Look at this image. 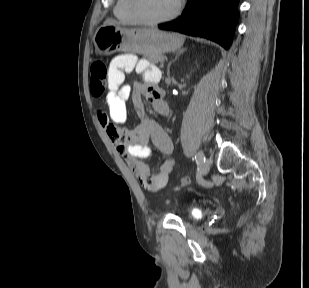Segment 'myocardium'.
<instances>
[{
	"label": "myocardium",
	"instance_id": "f54148a6",
	"mask_svg": "<svg viewBox=\"0 0 309 288\" xmlns=\"http://www.w3.org/2000/svg\"><path fill=\"white\" fill-rule=\"evenodd\" d=\"M140 2L141 0H129V10L138 23L148 26L159 25L174 19L181 12L184 5V0H178L176 7L168 15L157 19H150L142 14L140 9Z\"/></svg>",
	"mask_w": 309,
	"mask_h": 288
}]
</instances>
